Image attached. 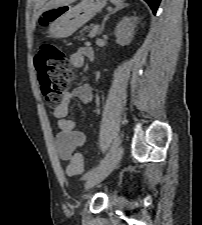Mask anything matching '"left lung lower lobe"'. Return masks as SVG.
I'll use <instances>...</instances> for the list:
<instances>
[{"instance_id":"obj_1","label":"left lung lower lobe","mask_w":202,"mask_h":225,"mask_svg":"<svg viewBox=\"0 0 202 225\" xmlns=\"http://www.w3.org/2000/svg\"><path fill=\"white\" fill-rule=\"evenodd\" d=\"M145 1L149 4L153 13L155 14L161 0H145Z\"/></svg>"}]
</instances>
